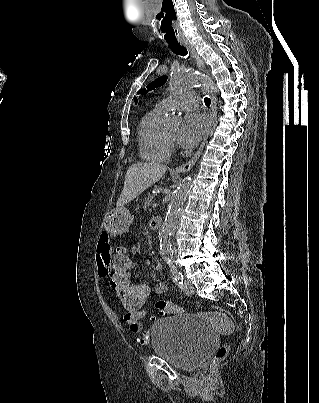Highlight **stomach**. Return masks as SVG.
I'll return each mask as SVG.
<instances>
[{
	"label": "stomach",
	"instance_id": "1",
	"mask_svg": "<svg viewBox=\"0 0 319 403\" xmlns=\"http://www.w3.org/2000/svg\"><path fill=\"white\" fill-rule=\"evenodd\" d=\"M132 220L133 217L129 210L120 207L107 214L104 226L107 232L114 235H120L128 230Z\"/></svg>",
	"mask_w": 319,
	"mask_h": 403
}]
</instances>
